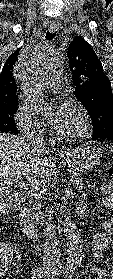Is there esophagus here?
Masks as SVG:
<instances>
[{
    "instance_id": "obj_1",
    "label": "esophagus",
    "mask_w": 113,
    "mask_h": 279,
    "mask_svg": "<svg viewBox=\"0 0 113 279\" xmlns=\"http://www.w3.org/2000/svg\"><path fill=\"white\" fill-rule=\"evenodd\" d=\"M49 31L50 32H55L56 29H57V25L56 24H50L49 27H48Z\"/></svg>"
}]
</instances>
